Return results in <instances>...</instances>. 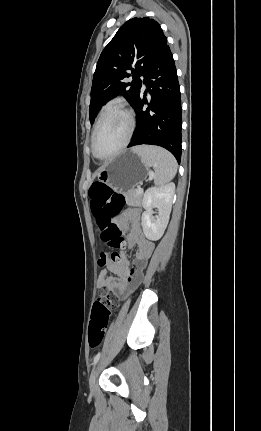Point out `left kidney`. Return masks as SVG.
Segmentation results:
<instances>
[{
  "instance_id": "left-kidney-1",
  "label": "left kidney",
  "mask_w": 261,
  "mask_h": 431,
  "mask_svg": "<svg viewBox=\"0 0 261 431\" xmlns=\"http://www.w3.org/2000/svg\"><path fill=\"white\" fill-rule=\"evenodd\" d=\"M175 193L174 184L147 189L143 197L142 228L147 239L159 240L167 227ZM153 208H157L158 216L153 217Z\"/></svg>"
}]
</instances>
